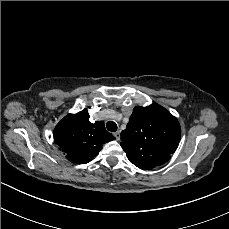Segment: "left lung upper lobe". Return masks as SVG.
<instances>
[{
  "label": "left lung upper lobe",
  "instance_id": "obj_1",
  "mask_svg": "<svg viewBox=\"0 0 229 229\" xmlns=\"http://www.w3.org/2000/svg\"><path fill=\"white\" fill-rule=\"evenodd\" d=\"M181 138L178 120L162 106L153 103L137 106L121 132V147L129 161L141 169L151 170L166 163Z\"/></svg>",
  "mask_w": 229,
  "mask_h": 229
}]
</instances>
